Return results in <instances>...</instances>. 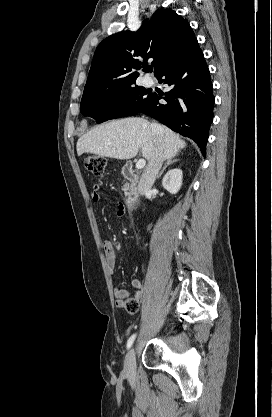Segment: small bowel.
Masks as SVG:
<instances>
[{
  "label": "small bowel",
  "mask_w": 272,
  "mask_h": 417,
  "mask_svg": "<svg viewBox=\"0 0 272 417\" xmlns=\"http://www.w3.org/2000/svg\"><path fill=\"white\" fill-rule=\"evenodd\" d=\"M101 187L100 185L96 184L93 186V191L91 194V199L94 202H98L101 198ZM119 215L122 216L123 215V208L120 207L119 209ZM104 252L106 255V259H107V264L108 267L110 268L111 272L113 273L114 271V267L116 265V260H117V256H116V252H115V248L113 246V244L109 241H106L104 243ZM115 283L117 284V280L115 278ZM142 289H143V283L140 279H133L131 281V291L124 289V288H120L118 285L115 286L114 289V295H115V299H116V304L119 307H124L126 305V299L132 295L131 299L137 300L139 301L141 296H142Z\"/></svg>",
  "instance_id": "obj_1"
}]
</instances>
